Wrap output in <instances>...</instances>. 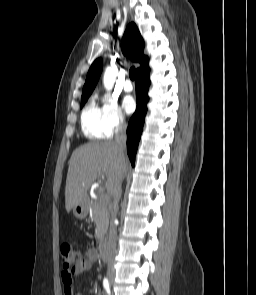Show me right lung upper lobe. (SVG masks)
<instances>
[{"label": "right lung upper lobe", "instance_id": "obj_1", "mask_svg": "<svg viewBox=\"0 0 256 295\" xmlns=\"http://www.w3.org/2000/svg\"><path fill=\"white\" fill-rule=\"evenodd\" d=\"M122 51L124 55L135 62L141 64L137 69V74L146 71L148 67V57L144 56V41L141 37L137 26L131 23L127 26L122 38ZM102 71V60L97 59L90 67L85 85L82 91L83 96H90L94 90Z\"/></svg>", "mask_w": 256, "mask_h": 295}]
</instances>
